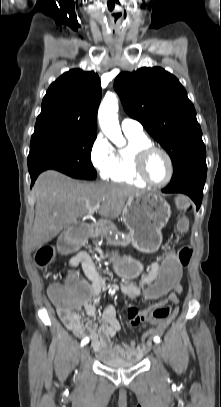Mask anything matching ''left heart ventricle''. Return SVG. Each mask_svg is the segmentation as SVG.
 I'll return each instance as SVG.
<instances>
[{"label":"left heart ventricle","instance_id":"left-heart-ventricle-1","mask_svg":"<svg viewBox=\"0 0 221 407\" xmlns=\"http://www.w3.org/2000/svg\"><path fill=\"white\" fill-rule=\"evenodd\" d=\"M147 173L154 182H163L169 175V163L166 157L159 153H153L147 162Z\"/></svg>","mask_w":221,"mask_h":407}]
</instances>
